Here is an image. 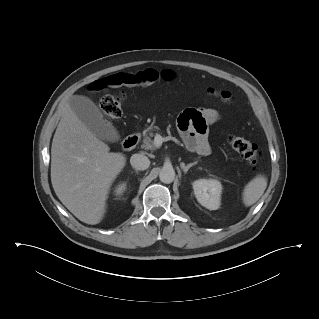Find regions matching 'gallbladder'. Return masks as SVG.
Masks as SVG:
<instances>
[{"mask_svg":"<svg viewBox=\"0 0 319 319\" xmlns=\"http://www.w3.org/2000/svg\"><path fill=\"white\" fill-rule=\"evenodd\" d=\"M76 116L99 139L117 142L120 136L116 128L107 121L98 106L85 96H72L68 101Z\"/></svg>","mask_w":319,"mask_h":319,"instance_id":"bac80fb5","label":"gallbladder"}]
</instances>
